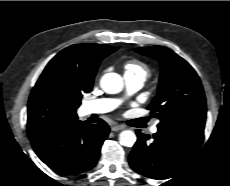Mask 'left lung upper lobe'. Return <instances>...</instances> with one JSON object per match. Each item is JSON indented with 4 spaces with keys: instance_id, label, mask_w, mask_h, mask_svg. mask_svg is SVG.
Listing matches in <instances>:
<instances>
[{
    "instance_id": "5c2ea615",
    "label": "left lung upper lobe",
    "mask_w": 230,
    "mask_h": 186,
    "mask_svg": "<svg viewBox=\"0 0 230 186\" xmlns=\"http://www.w3.org/2000/svg\"><path fill=\"white\" fill-rule=\"evenodd\" d=\"M135 51L161 64L158 93L147 107L160 119L158 127L204 129L206 99L201 81L189 63L162 46Z\"/></svg>"
}]
</instances>
